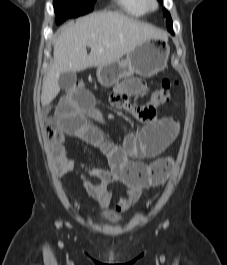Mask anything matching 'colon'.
Listing matches in <instances>:
<instances>
[{"label":"colon","instance_id":"1","mask_svg":"<svg viewBox=\"0 0 227 265\" xmlns=\"http://www.w3.org/2000/svg\"><path fill=\"white\" fill-rule=\"evenodd\" d=\"M177 84V81L171 77L164 78L161 82L160 87L152 93L149 102L146 105L139 106L142 108L141 112H136L137 117L143 121L152 122L156 120L158 106L166 104L169 102L171 97V90ZM70 87H82L81 84L76 83ZM57 121L50 118L47 122L48 134L53 137L57 130ZM172 159L170 157H165L157 160L152 167V174L156 177L158 181L166 178L168 172L172 167Z\"/></svg>","mask_w":227,"mask_h":265}]
</instances>
